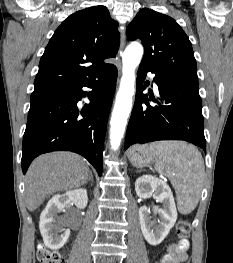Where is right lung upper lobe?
<instances>
[{"mask_svg":"<svg viewBox=\"0 0 233 263\" xmlns=\"http://www.w3.org/2000/svg\"><path fill=\"white\" fill-rule=\"evenodd\" d=\"M117 22L104 6L70 15L56 29L40 59L34 92L94 77L119 48Z\"/></svg>","mask_w":233,"mask_h":263,"instance_id":"1","label":"right lung upper lobe"}]
</instances>
